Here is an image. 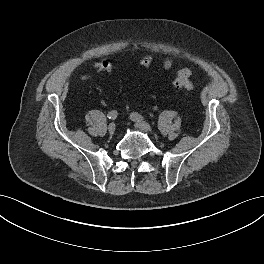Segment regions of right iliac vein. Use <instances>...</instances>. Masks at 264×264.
Returning a JSON list of instances; mask_svg holds the SVG:
<instances>
[{
    "label": "right iliac vein",
    "mask_w": 264,
    "mask_h": 264,
    "mask_svg": "<svg viewBox=\"0 0 264 264\" xmlns=\"http://www.w3.org/2000/svg\"><path fill=\"white\" fill-rule=\"evenodd\" d=\"M116 130V126L114 123H110L109 126H108V131L110 134H113Z\"/></svg>",
    "instance_id": "63e3f726"
}]
</instances>
